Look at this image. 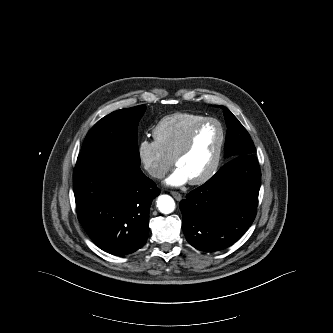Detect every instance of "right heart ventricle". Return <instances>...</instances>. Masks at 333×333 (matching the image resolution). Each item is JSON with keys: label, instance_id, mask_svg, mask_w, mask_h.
I'll list each match as a JSON object with an SVG mask.
<instances>
[{"label": "right heart ventricle", "instance_id": "1", "mask_svg": "<svg viewBox=\"0 0 333 333\" xmlns=\"http://www.w3.org/2000/svg\"><path fill=\"white\" fill-rule=\"evenodd\" d=\"M205 118L201 114L186 112L165 116L153 128L154 141L168 158H173L191 129Z\"/></svg>", "mask_w": 333, "mask_h": 333}]
</instances>
